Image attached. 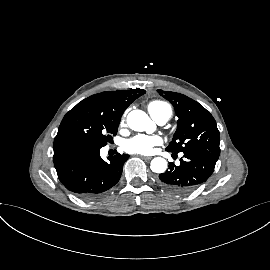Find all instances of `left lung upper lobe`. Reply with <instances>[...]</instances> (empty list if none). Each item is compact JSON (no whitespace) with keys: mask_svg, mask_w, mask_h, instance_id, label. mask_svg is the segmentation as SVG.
Returning <instances> with one entry per match:
<instances>
[{"mask_svg":"<svg viewBox=\"0 0 270 270\" xmlns=\"http://www.w3.org/2000/svg\"><path fill=\"white\" fill-rule=\"evenodd\" d=\"M174 106L177 130L166 148L173 153L197 152L219 158V131L213 116L198 102L176 92L158 90Z\"/></svg>","mask_w":270,"mask_h":270,"instance_id":"1","label":"left lung upper lobe"}]
</instances>
